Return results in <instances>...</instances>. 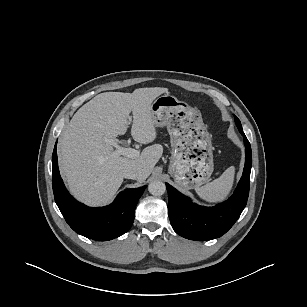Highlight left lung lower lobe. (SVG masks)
Returning <instances> with one entry per match:
<instances>
[{
	"mask_svg": "<svg viewBox=\"0 0 307 307\" xmlns=\"http://www.w3.org/2000/svg\"><path fill=\"white\" fill-rule=\"evenodd\" d=\"M244 136L245 166L234 194L225 202L214 207L194 204L188 197L166 183L168 212L174 231L190 240H211L221 237L237 221L246 206L249 195L252 166L251 146Z\"/></svg>",
	"mask_w": 307,
	"mask_h": 307,
	"instance_id": "0a47b994",
	"label": "left lung lower lobe"
}]
</instances>
